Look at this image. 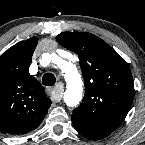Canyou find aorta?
I'll return each mask as SVG.
<instances>
[{"instance_id":"aorta-1","label":"aorta","mask_w":145,"mask_h":145,"mask_svg":"<svg viewBox=\"0 0 145 145\" xmlns=\"http://www.w3.org/2000/svg\"><path fill=\"white\" fill-rule=\"evenodd\" d=\"M54 62L59 64L61 61L56 60ZM63 70L67 82L66 91L64 93V102L69 107H75L81 101L82 80L76 68L66 64Z\"/></svg>"}]
</instances>
